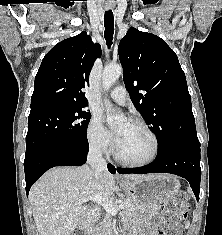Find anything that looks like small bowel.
<instances>
[{
	"label": "small bowel",
	"mask_w": 222,
	"mask_h": 235,
	"mask_svg": "<svg viewBox=\"0 0 222 235\" xmlns=\"http://www.w3.org/2000/svg\"><path fill=\"white\" fill-rule=\"evenodd\" d=\"M158 224V216L156 214H151L147 221V231L140 230L136 235H156V227Z\"/></svg>",
	"instance_id": "obj_1"
}]
</instances>
